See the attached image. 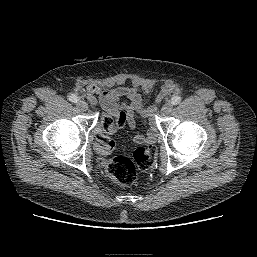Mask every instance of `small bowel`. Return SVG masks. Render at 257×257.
<instances>
[{
    "instance_id": "small-bowel-1",
    "label": "small bowel",
    "mask_w": 257,
    "mask_h": 257,
    "mask_svg": "<svg viewBox=\"0 0 257 257\" xmlns=\"http://www.w3.org/2000/svg\"><path fill=\"white\" fill-rule=\"evenodd\" d=\"M172 89L171 83H166L163 87L164 93H169ZM85 96L90 104L100 105L111 117L124 115L132 131L136 128V120L141 119L146 126V131L134 135L137 143L150 144L155 141L158 131L153 110L147 106L145 99L135 87L102 89L98 85L89 84L85 88ZM122 98H127L128 101L121 102Z\"/></svg>"
}]
</instances>
